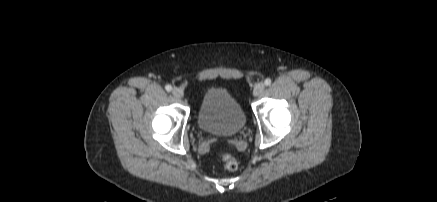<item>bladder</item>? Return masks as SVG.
<instances>
[{"instance_id": "31cf9c89", "label": "bladder", "mask_w": 437, "mask_h": 202, "mask_svg": "<svg viewBox=\"0 0 437 202\" xmlns=\"http://www.w3.org/2000/svg\"><path fill=\"white\" fill-rule=\"evenodd\" d=\"M196 123L205 133L230 137L243 130L246 115L240 103L227 90L210 88L201 99Z\"/></svg>"}]
</instances>
